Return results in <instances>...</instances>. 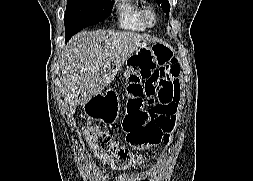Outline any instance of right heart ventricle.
Segmentation results:
<instances>
[{
	"label": "right heart ventricle",
	"instance_id": "e07e8e85",
	"mask_svg": "<svg viewBox=\"0 0 253 181\" xmlns=\"http://www.w3.org/2000/svg\"><path fill=\"white\" fill-rule=\"evenodd\" d=\"M145 8L140 0H115L117 24L125 30L145 31L147 27L143 18Z\"/></svg>",
	"mask_w": 253,
	"mask_h": 181
}]
</instances>
